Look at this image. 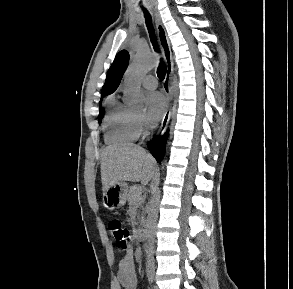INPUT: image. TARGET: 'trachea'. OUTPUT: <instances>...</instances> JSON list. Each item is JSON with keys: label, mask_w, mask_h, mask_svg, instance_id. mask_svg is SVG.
Returning <instances> with one entry per match:
<instances>
[{"label": "trachea", "mask_w": 293, "mask_h": 289, "mask_svg": "<svg viewBox=\"0 0 293 289\" xmlns=\"http://www.w3.org/2000/svg\"><path fill=\"white\" fill-rule=\"evenodd\" d=\"M144 16H145V21H146V25H147V28H148V32H149V35H150L151 43L153 44L154 49L156 51H159V48H158V45H157L156 35H155L154 28H153V25H152V19H151V16H150V14L148 13L147 10H144ZM166 71H167L166 65L163 62V60L161 59V62H160L159 67L157 69V75H158L160 80H163L165 78Z\"/></svg>", "instance_id": "1"}]
</instances>
